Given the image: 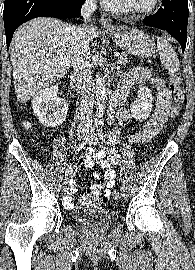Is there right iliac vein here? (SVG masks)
<instances>
[{"instance_id":"63e3f726","label":"right iliac vein","mask_w":195,"mask_h":270,"mask_svg":"<svg viewBox=\"0 0 195 270\" xmlns=\"http://www.w3.org/2000/svg\"><path fill=\"white\" fill-rule=\"evenodd\" d=\"M87 136H88L87 133L84 132V131L78 133V139H79V140H83V139H85ZM61 190H62V193H66V192L68 191V182H67V181H64V182L62 183Z\"/></svg>"}]
</instances>
